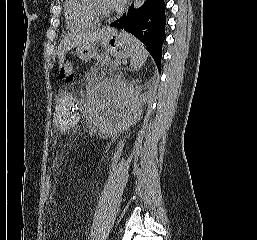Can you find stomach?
Returning a JSON list of instances; mask_svg holds the SVG:
<instances>
[{
	"mask_svg": "<svg viewBox=\"0 0 257 240\" xmlns=\"http://www.w3.org/2000/svg\"><path fill=\"white\" fill-rule=\"evenodd\" d=\"M100 41L107 52L121 58L130 56L131 43L125 37L124 33H118L117 30L108 27ZM96 54V44L79 46L76 49L77 57L84 62L91 60Z\"/></svg>",
	"mask_w": 257,
	"mask_h": 240,
	"instance_id": "0dacf381",
	"label": "stomach"
}]
</instances>
